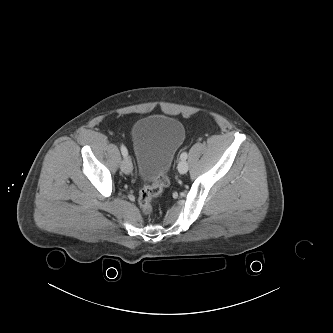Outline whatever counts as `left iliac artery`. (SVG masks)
Instances as JSON below:
<instances>
[{"instance_id": "obj_1", "label": "left iliac artery", "mask_w": 333, "mask_h": 333, "mask_svg": "<svg viewBox=\"0 0 333 333\" xmlns=\"http://www.w3.org/2000/svg\"><path fill=\"white\" fill-rule=\"evenodd\" d=\"M188 157V154L186 152H183L181 155H180V159L181 160H186Z\"/></svg>"}]
</instances>
